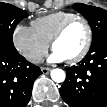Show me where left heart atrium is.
<instances>
[{"instance_id": "obj_1", "label": "left heart atrium", "mask_w": 107, "mask_h": 107, "mask_svg": "<svg viewBox=\"0 0 107 107\" xmlns=\"http://www.w3.org/2000/svg\"><path fill=\"white\" fill-rule=\"evenodd\" d=\"M49 60L51 62H62L65 60V58L54 50L53 53L50 55Z\"/></svg>"}]
</instances>
